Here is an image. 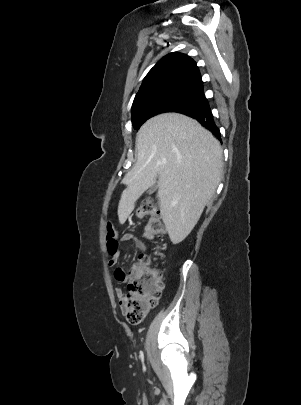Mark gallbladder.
Instances as JSON below:
<instances>
[{
  "label": "gallbladder",
  "mask_w": 301,
  "mask_h": 405,
  "mask_svg": "<svg viewBox=\"0 0 301 405\" xmlns=\"http://www.w3.org/2000/svg\"><path fill=\"white\" fill-rule=\"evenodd\" d=\"M157 188H158V186H157V184L155 183L153 186H151V187L149 188L148 194L154 193V192L157 190Z\"/></svg>",
  "instance_id": "bac80fb5"
}]
</instances>
